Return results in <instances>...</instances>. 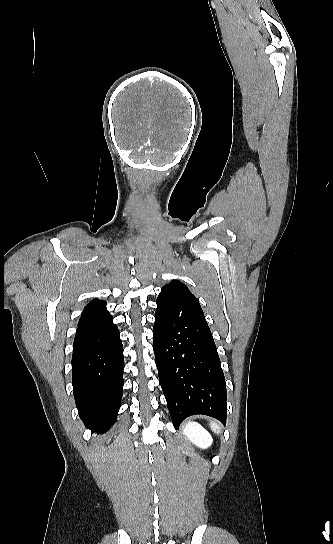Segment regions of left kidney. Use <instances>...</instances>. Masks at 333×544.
<instances>
[{
  "mask_svg": "<svg viewBox=\"0 0 333 544\" xmlns=\"http://www.w3.org/2000/svg\"><path fill=\"white\" fill-rule=\"evenodd\" d=\"M184 434L192 443L201 448H207L213 442L210 433L196 422H189L186 424Z\"/></svg>",
  "mask_w": 333,
  "mask_h": 544,
  "instance_id": "obj_1",
  "label": "left kidney"
}]
</instances>
